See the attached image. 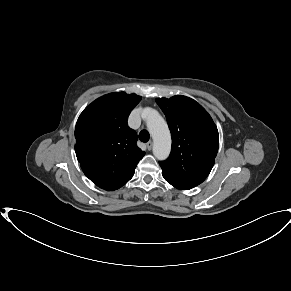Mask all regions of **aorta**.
I'll list each match as a JSON object with an SVG mask.
<instances>
[{"label":"aorta","mask_w":291,"mask_h":291,"mask_svg":"<svg viewBox=\"0 0 291 291\" xmlns=\"http://www.w3.org/2000/svg\"><path fill=\"white\" fill-rule=\"evenodd\" d=\"M142 117L146 119L148 130L153 138L154 156L158 160H165L171 150V136L165 120L152 108H145Z\"/></svg>","instance_id":"aorta-1"}]
</instances>
